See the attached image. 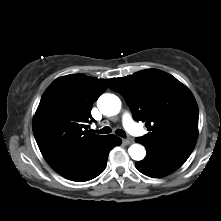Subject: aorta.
I'll use <instances>...</instances> for the list:
<instances>
[{
  "label": "aorta",
  "mask_w": 221,
  "mask_h": 221,
  "mask_svg": "<svg viewBox=\"0 0 221 221\" xmlns=\"http://www.w3.org/2000/svg\"><path fill=\"white\" fill-rule=\"evenodd\" d=\"M97 106L102 114L113 116L119 113L121 101L116 95L107 93L99 97ZM128 152L131 158L136 161L143 160L146 155L145 148L140 144L131 145Z\"/></svg>",
  "instance_id": "762f6f07"
}]
</instances>
